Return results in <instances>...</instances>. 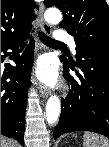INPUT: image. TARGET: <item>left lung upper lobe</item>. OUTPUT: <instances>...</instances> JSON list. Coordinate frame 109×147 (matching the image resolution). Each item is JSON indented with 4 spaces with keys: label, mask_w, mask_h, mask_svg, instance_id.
Masks as SVG:
<instances>
[{
    "label": "left lung upper lobe",
    "mask_w": 109,
    "mask_h": 147,
    "mask_svg": "<svg viewBox=\"0 0 109 147\" xmlns=\"http://www.w3.org/2000/svg\"><path fill=\"white\" fill-rule=\"evenodd\" d=\"M44 4L62 11L60 27L74 36L77 49L93 47L109 52V7L105 0H44Z\"/></svg>",
    "instance_id": "left-lung-upper-lobe-1"
}]
</instances>
